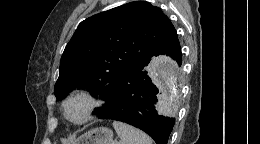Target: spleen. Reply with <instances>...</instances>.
<instances>
[{
    "instance_id": "spleen-1",
    "label": "spleen",
    "mask_w": 260,
    "mask_h": 144,
    "mask_svg": "<svg viewBox=\"0 0 260 144\" xmlns=\"http://www.w3.org/2000/svg\"><path fill=\"white\" fill-rule=\"evenodd\" d=\"M113 127L120 138L119 144H152L147 134L126 123L113 121Z\"/></svg>"
}]
</instances>
